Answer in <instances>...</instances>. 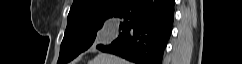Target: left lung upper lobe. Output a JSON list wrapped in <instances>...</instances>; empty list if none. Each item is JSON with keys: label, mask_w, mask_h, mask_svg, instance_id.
I'll return each mask as SVG.
<instances>
[{"label": "left lung upper lobe", "mask_w": 242, "mask_h": 64, "mask_svg": "<svg viewBox=\"0 0 242 64\" xmlns=\"http://www.w3.org/2000/svg\"><path fill=\"white\" fill-rule=\"evenodd\" d=\"M129 0H74L60 47L58 64H66L94 42L97 31Z\"/></svg>", "instance_id": "obj_1"}]
</instances>
